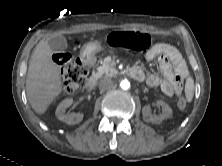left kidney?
I'll list each match as a JSON object with an SVG mask.
<instances>
[{"mask_svg":"<svg viewBox=\"0 0 222 166\" xmlns=\"http://www.w3.org/2000/svg\"><path fill=\"white\" fill-rule=\"evenodd\" d=\"M157 104L162 106L163 109V112L160 113L159 115H152L149 105H146L142 108L143 119L146 122L160 124L162 123L163 120L170 118L172 116V109L167 103L163 101H158Z\"/></svg>","mask_w":222,"mask_h":166,"instance_id":"1","label":"left kidney"}]
</instances>
